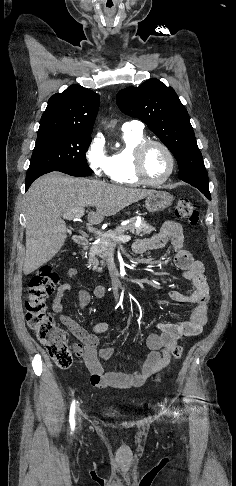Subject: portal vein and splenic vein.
Instances as JSON below:
<instances>
[{
    "instance_id": "18ae733b",
    "label": "portal vein and splenic vein",
    "mask_w": 236,
    "mask_h": 486,
    "mask_svg": "<svg viewBox=\"0 0 236 486\" xmlns=\"http://www.w3.org/2000/svg\"><path fill=\"white\" fill-rule=\"evenodd\" d=\"M84 208L80 209H74L70 212H67L63 214V218L71 220V219H80L84 215ZM88 230L90 232H94L98 235H100V231L96 230L94 227H88ZM112 239L115 240L116 242H128L131 240V236L129 235H120V236H112ZM107 243V242H106Z\"/></svg>"
}]
</instances>
